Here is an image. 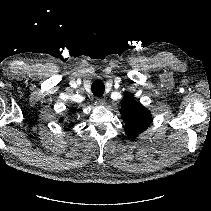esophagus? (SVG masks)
<instances>
[{
  "mask_svg": "<svg viewBox=\"0 0 211 211\" xmlns=\"http://www.w3.org/2000/svg\"><path fill=\"white\" fill-rule=\"evenodd\" d=\"M96 103L100 106H106V100L104 98H97Z\"/></svg>",
  "mask_w": 211,
  "mask_h": 211,
  "instance_id": "esophagus-1",
  "label": "esophagus"
}]
</instances>
